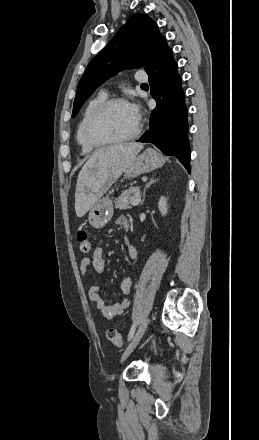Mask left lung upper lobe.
I'll return each mask as SVG.
<instances>
[{
    "mask_svg": "<svg viewBox=\"0 0 259 440\" xmlns=\"http://www.w3.org/2000/svg\"><path fill=\"white\" fill-rule=\"evenodd\" d=\"M165 39L146 14H134L87 66L78 84L72 117L95 89L124 69H146Z\"/></svg>",
    "mask_w": 259,
    "mask_h": 440,
    "instance_id": "obj_1",
    "label": "left lung upper lobe"
}]
</instances>
